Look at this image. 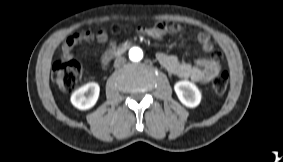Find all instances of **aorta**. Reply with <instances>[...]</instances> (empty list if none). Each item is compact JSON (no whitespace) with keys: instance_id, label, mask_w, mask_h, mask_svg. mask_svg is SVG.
<instances>
[{"instance_id":"1","label":"aorta","mask_w":283,"mask_h":162,"mask_svg":"<svg viewBox=\"0 0 283 162\" xmlns=\"http://www.w3.org/2000/svg\"><path fill=\"white\" fill-rule=\"evenodd\" d=\"M129 58L134 62L140 61L143 58V51L139 47H132L129 50Z\"/></svg>"}]
</instances>
